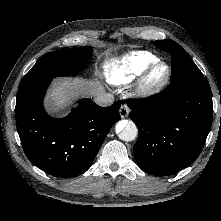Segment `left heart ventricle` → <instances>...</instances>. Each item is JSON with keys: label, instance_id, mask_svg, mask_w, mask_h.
<instances>
[{"label": "left heart ventricle", "instance_id": "obj_1", "mask_svg": "<svg viewBox=\"0 0 221 221\" xmlns=\"http://www.w3.org/2000/svg\"><path fill=\"white\" fill-rule=\"evenodd\" d=\"M164 72H165V70L163 67L157 68L153 73V76H152L153 79L158 80V79L162 78V76L164 75Z\"/></svg>", "mask_w": 221, "mask_h": 221}]
</instances>
